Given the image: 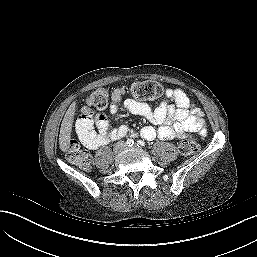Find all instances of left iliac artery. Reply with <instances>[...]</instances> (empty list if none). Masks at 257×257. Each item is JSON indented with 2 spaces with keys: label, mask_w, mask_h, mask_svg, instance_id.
I'll return each mask as SVG.
<instances>
[{
  "label": "left iliac artery",
  "mask_w": 257,
  "mask_h": 257,
  "mask_svg": "<svg viewBox=\"0 0 257 257\" xmlns=\"http://www.w3.org/2000/svg\"><path fill=\"white\" fill-rule=\"evenodd\" d=\"M137 146L138 147H144L145 146V142L139 140V141H137Z\"/></svg>",
  "instance_id": "44dca946"
}]
</instances>
